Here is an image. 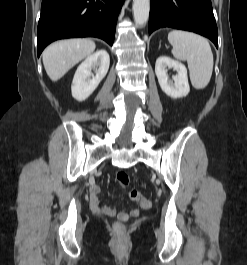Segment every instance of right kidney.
Wrapping results in <instances>:
<instances>
[{"label": "right kidney", "instance_id": "ca27d5eb", "mask_svg": "<svg viewBox=\"0 0 247 265\" xmlns=\"http://www.w3.org/2000/svg\"><path fill=\"white\" fill-rule=\"evenodd\" d=\"M110 65V57L106 50L101 49L88 56L77 68L72 86V96L77 101H84L97 88L106 76ZM95 72V75L92 73Z\"/></svg>", "mask_w": 247, "mask_h": 265}]
</instances>
